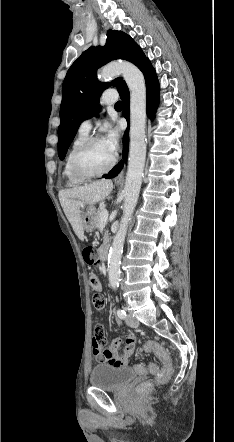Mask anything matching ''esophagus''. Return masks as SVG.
<instances>
[{
    "instance_id": "34e87169",
    "label": "esophagus",
    "mask_w": 234,
    "mask_h": 442,
    "mask_svg": "<svg viewBox=\"0 0 234 442\" xmlns=\"http://www.w3.org/2000/svg\"><path fill=\"white\" fill-rule=\"evenodd\" d=\"M124 180V169L115 177V182H122Z\"/></svg>"
}]
</instances>
